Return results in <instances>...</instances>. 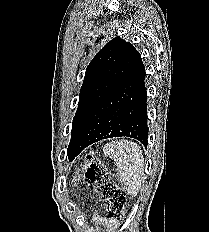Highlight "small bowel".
Returning <instances> with one entry per match:
<instances>
[{"instance_id":"obj_1","label":"small bowel","mask_w":209,"mask_h":232,"mask_svg":"<svg viewBox=\"0 0 209 232\" xmlns=\"http://www.w3.org/2000/svg\"><path fill=\"white\" fill-rule=\"evenodd\" d=\"M94 219H95V221L106 225L110 230H112L115 227V222H113L112 220H109L107 218L96 216Z\"/></svg>"}]
</instances>
